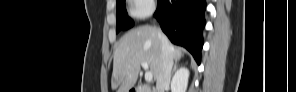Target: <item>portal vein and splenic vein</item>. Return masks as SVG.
<instances>
[{
	"label": "portal vein and splenic vein",
	"instance_id": "portal-vein-and-splenic-vein-1",
	"mask_svg": "<svg viewBox=\"0 0 296 92\" xmlns=\"http://www.w3.org/2000/svg\"><path fill=\"white\" fill-rule=\"evenodd\" d=\"M141 66H142V68L145 69V71H146V72H145V80H146L147 82L152 81V79H153V74H152L151 71L148 70V69H149L148 64H147L146 62H142V63H141Z\"/></svg>",
	"mask_w": 296,
	"mask_h": 92
}]
</instances>
